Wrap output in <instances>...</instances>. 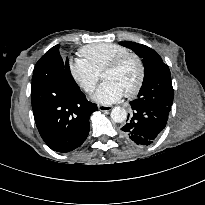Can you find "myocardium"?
Segmentation results:
<instances>
[{"mask_svg":"<svg viewBox=\"0 0 205 205\" xmlns=\"http://www.w3.org/2000/svg\"><path fill=\"white\" fill-rule=\"evenodd\" d=\"M128 60H134L138 67V76H137V80L135 84L133 85L132 88H130L129 90L125 92L126 96L132 97L141 90L144 80H145V76H146L145 64H144L143 59L139 55L134 54V53H127V54L118 56L117 58L113 59L111 62H109L104 67V69L101 72V76L103 75V73L107 71H113V70L118 69Z\"/></svg>","mask_w":205,"mask_h":205,"instance_id":"myocardium-1","label":"myocardium"}]
</instances>
